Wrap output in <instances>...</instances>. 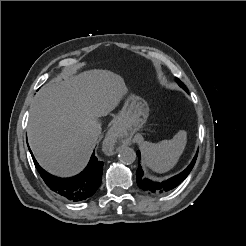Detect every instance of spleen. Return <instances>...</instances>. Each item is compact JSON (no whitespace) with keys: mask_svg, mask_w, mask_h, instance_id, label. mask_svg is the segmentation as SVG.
Segmentation results:
<instances>
[{"mask_svg":"<svg viewBox=\"0 0 246 246\" xmlns=\"http://www.w3.org/2000/svg\"><path fill=\"white\" fill-rule=\"evenodd\" d=\"M187 143V132L180 130L170 140L158 143L142 142L141 151L146 165L153 171L164 173L171 170L178 162Z\"/></svg>","mask_w":246,"mask_h":246,"instance_id":"3e777b00","label":"spleen"}]
</instances>
